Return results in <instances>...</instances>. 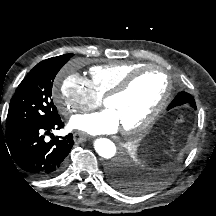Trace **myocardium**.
Segmentation results:
<instances>
[{
  "instance_id": "f54148a6",
  "label": "myocardium",
  "mask_w": 216,
  "mask_h": 216,
  "mask_svg": "<svg viewBox=\"0 0 216 216\" xmlns=\"http://www.w3.org/2000/svg\"><path fill=\"white\" fill-rule=\"evenodd\" d=\"M149 71H159L160 74L165 78L166 88L164 94L155 106V108L141 122L130 127L122 128V132L125 135H133L143 132L165 110L172 94V82L169 75L167 74V72H165L162 68L158 66H141L127 74L113 89H111L104 95L103 102L106 105L111 98H115L124 94L139 76Z\"/></svg>"
}]
</instances>
